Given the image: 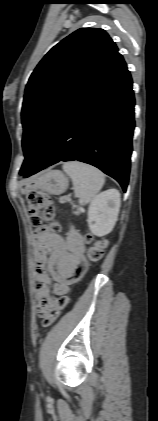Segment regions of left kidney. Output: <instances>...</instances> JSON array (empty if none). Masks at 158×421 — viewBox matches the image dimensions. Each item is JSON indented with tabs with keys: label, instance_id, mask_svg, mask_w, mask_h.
Segmentation results:
<instances>
[{
	"label": "left kidney",
	"instance_id": "5707ae66",
	"mask_svg": "<svg viewBox=\"0 0 158 421\" xmlns=\"http://www.w3.org/2000/svg\"><path fill=\"white\" fill-rule=\"evenodd\" d=\"M120 203V193L116 189L106 190L96 196L89 206L87 219L89 229L94 235L102 237L113 230Z\"/></svg>",
	"mask_w": 158,
	"mask_h": 421
}]
</instances>
